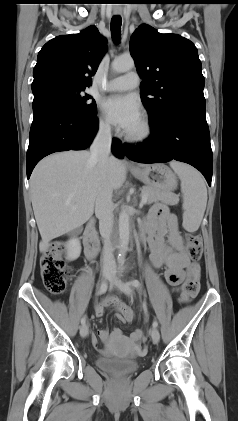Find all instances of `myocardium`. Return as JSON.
Segmentation results:
<instances>
[{"label": "myocardium", "mask_w": 238, "mask_h": 421, "mask_svg": "<svg viewBox=\"0 0 238 421\" xmlns=\"http://www.w3.org/2000/svg\"><path fill=\"white\" fill-rule=\"evenodd\" d=\"M141 130L137 134L125 133V138L128 142L133 144H142L148 141L152 134V127L147 117L141 119Z\"/></svg>", "instance_id": "obj_1"}]
</instances>
